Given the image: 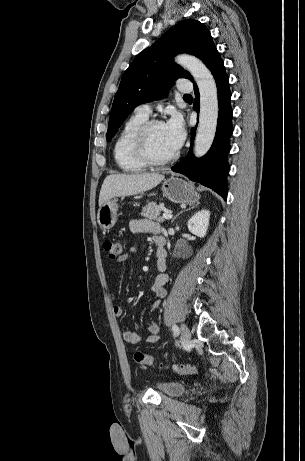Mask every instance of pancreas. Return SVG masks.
<instances>
[{
    "label": "pancreas",
    "instance_id": "obj_1",
    "mask_svg": "<svg viewBox=\"0 0 305 461\" xmlns=\"http://www.w3.org/2000/svg\"><path fill=\"white\" fill-rule=\"evenodd\" d=\"M165 210L164 204H156L155 202H149L146 206L142 207L141 216L156 220L161 223L164 222V218L160 217V213Z\"/></svg>",
    "mask_w": 305,
    "mask_h": 461
}]
</instances>
